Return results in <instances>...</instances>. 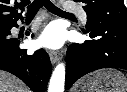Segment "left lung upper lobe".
Here are the masks:
<instances>
[{
  "label": "left lung upper lobe",
  "mask_w": 127,
  "mask_h": 92,
  "mask_svg": "<svg viewBox=\"0 0 127 92\" xmlns=\"http://www.w3.org/2000/svg\"><path fill=\"white\" fill-rule=\"evenodd\" d=\"M83 3L87 24L94 22H117L127 24V10L123 0H75Z\"/></svg>",
  "instance_id": "obj_1"
}]
</instances>
